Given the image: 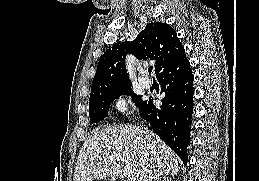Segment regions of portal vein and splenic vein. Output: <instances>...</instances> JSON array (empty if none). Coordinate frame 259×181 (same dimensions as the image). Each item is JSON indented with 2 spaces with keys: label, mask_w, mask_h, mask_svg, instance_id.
<instances>
[{
  "label": "portal vein and splenic vein",
  "mask_w": 259,
  "mask_h": 181,
  "mask_svg": "<svg viewBox=\"0 0 259 181\" xmlns=\"http://www.w3.org/2000/svg\"><path fill=\"white\" fill-rule=\"evenodd\" d=\"M117 159H120L122 161H125V157L124 156H118ZM131 173H132V169L128 166H125L122 170V176L124 178H130L131 176Z\"/></svg>",
  "instance_id": "portal-vein-and-splenic-vein-1"
}]
</instances>
